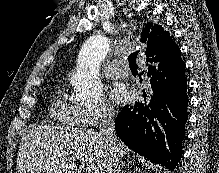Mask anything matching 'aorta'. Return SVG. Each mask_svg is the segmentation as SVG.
<instances>
[{
  "label": "aorta",
  "instance_id": "aorta-1",
  "mask_svg": "<svg viewBox=\"0 0 219 173\" xmlns=\"http://www.w3.org/2000/svg\"><path fill=\"white\" fill-rule=\"evenodd\" d=\"M109 51L108 39L103 35L89 37L83 44L72 85L81 101H97L102 95L99 68Z\"/></svg>",
  "mask_w": 219,
  "mask_h": 173
}]
</instances>
